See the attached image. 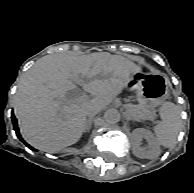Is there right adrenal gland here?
Wrapping results in <instances>:
<instances>
[{
  "label": "right adrenal gland",
  "instance_id": "1",
  "mask_svg": "<svg viewBox=\"0 0 194 193\" xmlns=\"http://www.w3.org/2000/svg\"><path fill=\"white\" fill-rule=\"evenodd\" d=\"M92 120L93 118H90L89 120H87L86 122V131L89 132L92 126Z\"/></svg>",
  "mask_w": 194,
  "mask_h": 193
}]
</instances>
